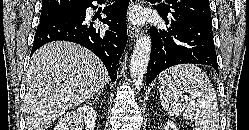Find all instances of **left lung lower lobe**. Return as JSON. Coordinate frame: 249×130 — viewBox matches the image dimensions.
<instances>
[{"label": "left lung lower lobe", "instance_id": "1", "mask_svg": "<svg viewBox=\"0 0 249 130\" xmlns=\"http://www.w3.org/2000/svg\"><path fill=\"white\" fill-rule=\"evenodd\" d=\"M159 14L168 27L167 30H157L155 27L150 29L152 47L146 85L160 72L177 64H205L218 72L212 26L187 18Z\"/></svg>", "mask_w": 249, "mask_h": 130}]
</instances>
